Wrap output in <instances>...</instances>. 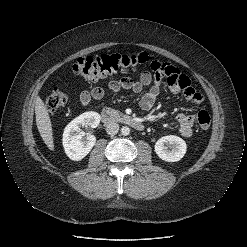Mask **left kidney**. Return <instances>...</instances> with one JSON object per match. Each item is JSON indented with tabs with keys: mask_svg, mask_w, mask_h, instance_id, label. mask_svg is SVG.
Segmentation results:
<instances>
[{
	"mask_svg": "<svg viewBox=\"0 0 247 247\" xmlns=\"http://www.w3.org/2000/svg\"><path fill=\"white\" fill-rule=\"evenodd\" d=\"M154 149L160 159L166 162H177L184 157L187 145L182 138L169 135L160 138Z\"/></svg>",
	"mask_w": 247,
	"mask_h": 247,
	"instance_id": "left-kidney-1",
	"label": "left kidney"
}]
</instances>
